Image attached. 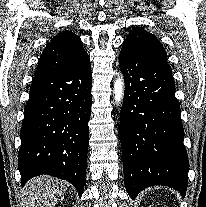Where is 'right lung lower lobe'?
<instances>
[{
    "mask_svg": "<svg viewBox=\"0 0 206 207\" xmlns=\"http://www.w3.org/2000/svg\"><path fill=\"white\" fill-rule=\"evenodd\" d=\"M91 86L89 57L61 72L33 79L20 132L22 186L36 175L47 174L69 181L82 195Z\"/></svg>",
    "mask_w": 206,
    "mask_h": 207,
    "instance_id": "obj_1",
    "label": "right lung lower lobe"
}]
</instances>
